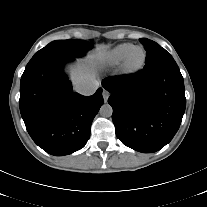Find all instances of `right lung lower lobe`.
<instances>
[{
    "label": "right lung lower lobe",
    "mask_w": 207,
    "mask_h": 207,
    "mask_svg": "<svg viewBox=\"0 0 207 207\" xmlns=\"http://www.w3.org/2000/svg\"><path fill=\"white\" fill-rule=\"evenodd\" d=\"M74 58L50 56L27 64L20 83V112L34 142L51 155L82 149L103 104L102 88L91 96L73 92L63 66Z\"/></svg>",
    "instance_id": "98d812e1"
}]
</instances>
